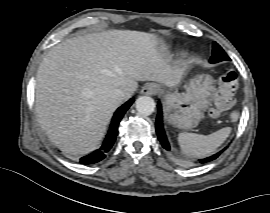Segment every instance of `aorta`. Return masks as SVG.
<instances>
[{"instance_id":"1","label":"aorta","mask_w":270,"mask_h":213,"mask_svg":"<svg viewBox=\"0 0 270 213\" xmlns=\"http://www.w3.org/2000/svg\"><path fill=\"white\" fill-rule=\"evenodd\" d=\"M155 101L149 96H141L136 100V110L139 114L150 115L155 110Z\"/></svg>"}]
</instances>
